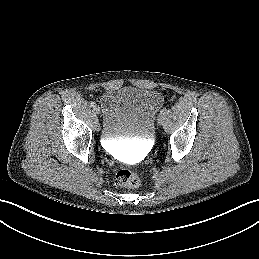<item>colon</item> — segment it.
Masks as SVG:
<instances>
[{
  "instance_id": "colon-1",
  "label": "colon",
  "mask_w": 259,
  "mask_h": 259,
  "mask_svg": "<svg viewBox=\"0 0 259 259\" xmlns=\"http://www.w3.org/2000/svg\"><path fill=\"white\" fill-rule=\"evenodd\" d=\"M115 184L119 187L136 188L141 183L139 174L131 169L122 168L115 174Z\"/></svg>"
}]
</instances>
